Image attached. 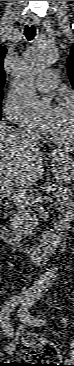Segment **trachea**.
I'll return each instance as SVG.
<instances>
[{
	"label": "trachea",
	"instance_id": "trachea-1",
	"mask_svg": "<svg viewBox=\"0 0 74 366\" xmlns=\"http://www.w3.org/2000/svg\"><path fill=\"white\" fill-rule=\"evenodd\" d=\"M24 35L28 41H31L36 36V28L34 25H26L24 28Z\"/></svg>",
	"mask_w": 74,
	"mask_h": 366
}]
</instances>
